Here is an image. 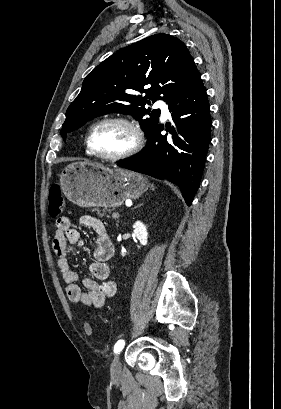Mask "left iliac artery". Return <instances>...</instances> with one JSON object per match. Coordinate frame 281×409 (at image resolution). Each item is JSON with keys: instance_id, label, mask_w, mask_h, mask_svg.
Instances as JSON below:
<instances>
[{"instance_id": "obj_1", "label": "left iliac artery", "mask_w": 281, "mask_h": 409, "mask_svg": "<svg viewBox=\"0 0 281 409\" xmlns=\"http://www.w3.org/2000/svg\"><path fill=\"white\" fill-rule=\"evenodd\" d=\"M124 345H125V341L119 340L114 346V352L119 353L123 349Z\"/></svg>"}]
</instances>
